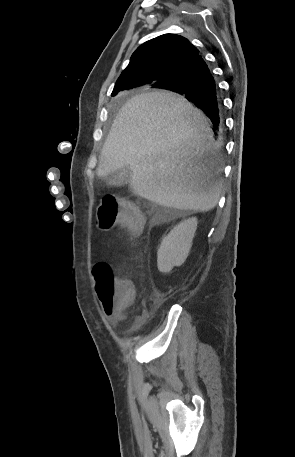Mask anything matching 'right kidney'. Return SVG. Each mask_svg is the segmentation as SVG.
I'll list each match as a JSON object with an SVG mask.
<instances>
[{"label":"right kidney","instance_id":"1","mask_svg":"<svg viewBox=\"0 0 295 457\" xmlns=\"http://www.w3.org/2000/svg\"><path fill=\"white\" fill-rule=\"evenodd\" d=\"M197 228V219L189 218L176 225L162 240L157 252V266L160 272H169L186 260Z\"/></svg>","mask_w":295,"mask_h":457}]
</instances>
